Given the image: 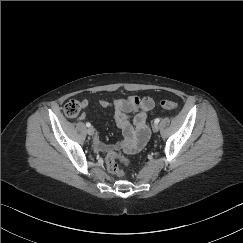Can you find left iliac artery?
Returning a JSON list of instances; mask_svg holds the SVG:
<instances>
[{
	"mask_svg": "<svg viewBox=\"0 0 243 243\" xmlns=\"http://www.w3.org/2000/svg\"><path fill=\"white\" fill-rule=\"evenodd\" d=\"M160 122V118H156L155 120H154V123L155 124H158Z\"/></svg>",
	"mask_w": 243,
	"mask_h": 243,
	"instance_id": "44dca946",
	"label": "left iliac artery"
}]
</instances>
